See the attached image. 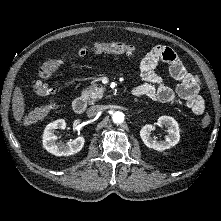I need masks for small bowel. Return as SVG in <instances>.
Returning <instances> with one entry per match:
<instances>
[{"label":"small bowel","mask_w":221,"mask_h":221,"mask_svg":"<svg viewBox=\"0 0 221 221\" xmlns=\"http://www.w3.org/2000/svg\"><path fill=\"white\" fill-rule=\"evenodd\" d=\"M160 62L168 64L171 76L178 81L175 89L168 87L155 69ZM141 76L146 83L134 89L137 97L147 96L161 103L182 102L195 115L204 112L205 104L199 95L201 81L197 75L187 71L177 54L169 47H153L142 59Z\"/></svg>","instance_id":"obj_1"}]
</instances>
